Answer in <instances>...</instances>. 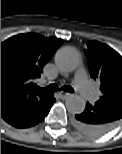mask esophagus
<instances>
[{
    "label": "esophagus",
    "instance_id": "1",
    "mask_svg": "<svg viewBox=\"0 0 122 154\" xmlns=\"http://www.w3.org/2000/svg\"><path fill=\"white\" fill-rule=\"evenodd\" d=\"M69 95H70L69 93L64 92V91L59 92V96H60L61 98H66V97H68Z\"/></svg>",
    "mask_w": 122,
    "mask_h": 154
}]
</instances>
